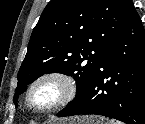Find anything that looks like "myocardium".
Wrapping results in <instances>:
<instances>
[{
  "label": "myocardium",
  "mask_w": 145,
  "mask_h": 124,
  "mask_svg": "<svg viewBox=\"0 0 145 124\" xmlns=\"http://www.w3.org/2000/svg\"><path fill=\"white\" fill-rule=\"evenodd\" d=\"M44 86H53L56 96L47 103H37L35 93ZM76 80L69 74L60 71H49L39 75L27 87L24 94L25 106L33 113H47L55 111L69 104L77 95Z\"/></svg>",
  "instance_id": "f54148a6"
}]
</instances>
